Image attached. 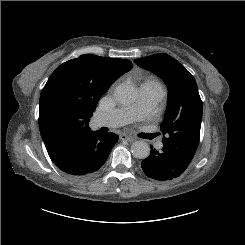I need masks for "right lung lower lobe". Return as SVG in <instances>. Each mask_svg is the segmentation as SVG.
Returning a JSON list of instances; mask_svg holds the SVG:
<instances>
[{
	"instance_id": "98d812e1",
	"label": "right lung lower lobe",
	"mask_w": 245,
	"mask_h": 245,
	"mask_svg": "<svg viewBox=\"0 0 245 245\" xmlns=\"http://www.w3.org/2000/svg\"><path fill=\"white\" fill-rule=\"evenodd\" d=\"M117 141L118 137L111 133L91 132L74 142L53 162L74 179H88L105 163Z\"/></svg>"
}]
</instances>
